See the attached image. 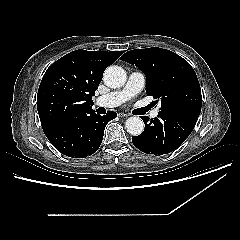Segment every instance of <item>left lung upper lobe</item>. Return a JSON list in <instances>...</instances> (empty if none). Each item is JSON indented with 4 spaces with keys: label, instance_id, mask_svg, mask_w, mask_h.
I'll list each match as a JSON object with an SVG mask.
<instances>
[{
    "label": "left lung upper lobe",
    "instance_id": "1",
    "mask_svg": "<svg viewBox=\"0 0 240 240\" xmlns=\"http://www.w3.org/2000/svg\"><path fill=\"white\" fill-rule=\"evenodd\" d=\"M121 59L136 65L146 75V93L161 101L159 112L201 110L198 78L192 66L179 55L152 47L128 51Z\"/></svg>",
    "mask_w": 240,
    "mask_h": 240
}]
</instances>
